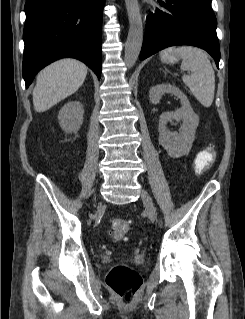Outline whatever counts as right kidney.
<instances>
[{"label": "right kidney", "instance_id": "right-kidney-1", "mask_svg": "<svg viewBox=\"0 0 245 319\" xmlns=\"http://www.w3.org/2000/svg\"><path fill=\"white\" fill-rule=\"evenodd\" d=\"M84 108L79 101L66 103L59 111L58 120L61 128L67 133L77 134L83 123Z\"/></svg>", "mask_w": 245, "mask_h": 319}]
</instances>
